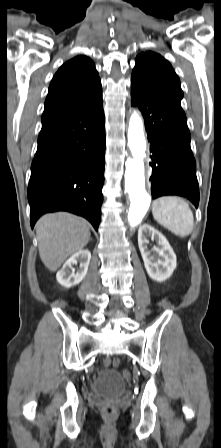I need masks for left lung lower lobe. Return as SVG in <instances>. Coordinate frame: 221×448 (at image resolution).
<instances>
[{
	"mask_svg": "<svg viewBox=\"0 0 221 448\" xmlns=\"http://www.w3.org/2000/svg\"><path fill=\"white\" fill-rule=\"evenodd\" d=\"M131 103L142 112L150 142L152 198L179 195L197 207L199 187L187 121L134 91Z\"/></svg>",
	"mask_w": 221,
	"mask_h": 448,
	"instance_id": "1",
	"label": "left lung lower lobe"
}]
</instances>
